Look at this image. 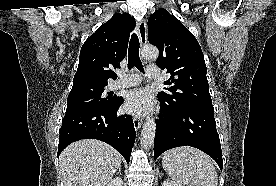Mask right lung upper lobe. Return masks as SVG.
Returning a JSON list of instances; mask_svg holds the SVG:
<instances>
[{"label":"right lung upper lobe","instance_id":"obj_1","mask_svg":"<svg viewBox=\"0 0 276 186\" xmlns=\"http://www.w3.org/2000/svg\"><path fill=\"white\" fill-rule=\"evenodd\" d=\"M135 20L126 13L114 14L83 44L73 87L105 85L109 78L116 79L113 69L120 68L124 59L130 32Z\"/></svg>","mask_w":276,"mask_h":186}]
</instances>
